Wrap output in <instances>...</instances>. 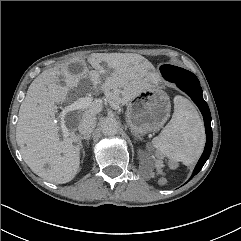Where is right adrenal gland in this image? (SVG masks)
Instances as JSON below:
<instances>
[{
    "label": "right adrenal gland",
    "instance_id": "2a0ac1e0",
    "mask_svg": "<svg viewBox=\"0 0 241 241\" xmlns=\"http://www.w3.org/2000/svg\"><path fill=\"white\" fill-rule=\"evenodd\" d=\"M90 137H91V135H87V136H81V135H79V136H78V143H79V145H80L83 153H84V148H83L82 140H87L88 145H89Z\"/></svg>",
    "mask_w": 241,
    "mask_h": 241
}]
</instances>
